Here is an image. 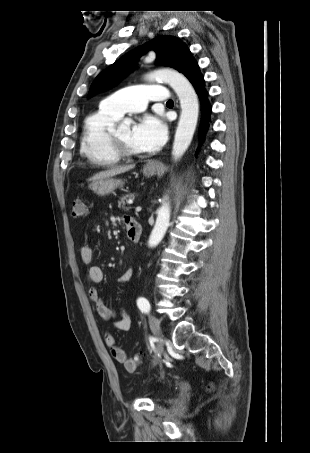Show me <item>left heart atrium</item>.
<instances>
[{
	"mask_svg": "<svg viewBox=\"0 0 310 453\" xmlns=\"http://www.w3.org/2000/svg\"><path fill=\"white\" fill-rule=\"evenodd\" d=\"M166 137V124L153 115L143 117L132 129L133 142L142 151L158 149L163 145Z\"/></svg>",
	"mask_w": 310,
	"mask_h": 453,
	"instance_id": "1",
	"label": "left heart atrium"
}]
</instances>
